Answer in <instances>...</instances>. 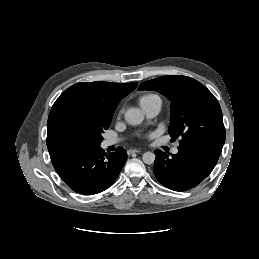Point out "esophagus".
<instances>
[{"label":"esophagus","instance_id":"1","mask_svg":"<svg viewBox=\"0 0 259 259\" xmlns=\"http://www.w3.org/2000/svg\"><path fill=\"white\" fill-rule=\"evenodd\" d=\"M140 152H141L140 150L130 149V150L127 151V154H128V155H132V154L140 153Z\"/></svg>","mask_w":259,"mask_h":259}]
</instances>
